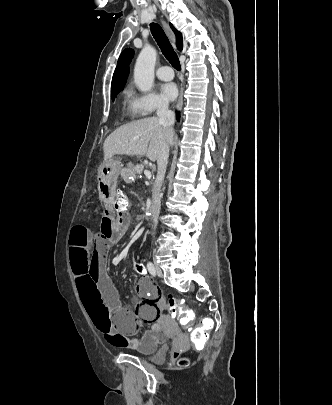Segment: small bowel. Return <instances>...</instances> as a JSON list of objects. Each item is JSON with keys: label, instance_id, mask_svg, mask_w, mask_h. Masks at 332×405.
Listing matches in <instances>:
<instances>
[{"label": "small bowel", "instance_id": "obj_1", "mask_svg": "<svg viewBox=\"0 0 332 405\" xmlns=\"http://www.w3.org/2000/svg\"><path fill=\"white\" fill-rule=\"evenodd\" d=\"M128 168H133V164L129 163ZM99 171V194L104 205L100 231L93 233L86 226L75 225L68 241L77 298L84 305V314L88 315L91 325L109 344L132 350L157 349L158 344L165 342L162 312L166 304L161 291L149 280L141 279L135 286L137 297L131 312L120 304L118 292L106 271V256L126 234L131 217L129 212L122 211L126 215L123 221L118 218L119 212L111 210L116 202L113 183L118 182L119 176L116 159H105ZM140 321L151 322V328L142 337L131 338L139 330Z\"/></svg>", "mask_w": 332, "mask_h": 405}]
</instances>
